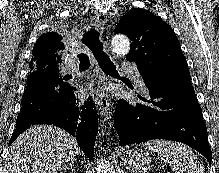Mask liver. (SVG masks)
<instances>
[{"instance_id": "obj_1", "label": "liver", "mask_w": 219, "mask_h": 173, "mask_svg": "<svg viewBox=\"0 0 219 173\" xmlns=\"http://www.w3.org/2000/svg\"><path fill=\"white\" fill-rule=\"evenodd\" d=\"M76 139L61 128L35 125L11 145L2 173H58L75 161Z\"/></svg>"}]
</instances>
